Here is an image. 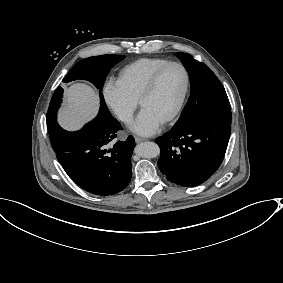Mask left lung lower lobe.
<instances>
[{"label": "left lung lower lobe", "instance_id": "0a47b994", "mask_svg": "<svg viewBox=\"0 0 283 283\" xmlns=\"http://www.w3.org/2000/svg\"><path fill=\"white\" fill-rule=\"evenodd\" d=\"M231 111L201 115L183 126L175 125L156 139L158 167L166 178L184 187L197 186L219 168L228 145Z\"/></svg>", "mask_w": 283, "mask_h": 283}]
</instances>
